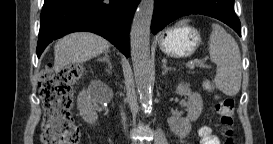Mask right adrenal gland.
Listing matches in <instances>:
<instances>
[{
	"mask_svg": "<svg viewBox=\"0 0 273 144\" xmlns=\"http://www.w3.org/2000/svg\"><path fill=\"white\" fill-rule=\"evenodd\" d=\"M109 52L110 50L105 51L104 56L97 59L98 61H103V62L105 61L108 64V69L106 70L107 73H110L112 70V63L110 62L109 55H108Z\"/></svg>",
	"mask_w": 273,
	"mask_h": 144,
	"instance_id": "right-adrenal-gland-1",
	"label": "right adrenal gland"
}]
</instances>
